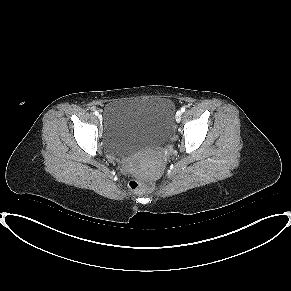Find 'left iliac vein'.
<instances>
[{"label": "left iliac vein", "instance_id": "left-iliac-vein-1", "mask_svg": "<svg viewBox=\"0 0 291 291\" xmlns=\"http://www.w3.org/2000/svg\"><path fill=\"white\" fill-rule=\"evenodd\" d=\"M181 117H182V112H181V111H178V112L176 113V121H177V122H180V121H181Z\"/></svg>", "mask_w": 291, "mask_h": 291}]
</instances>
